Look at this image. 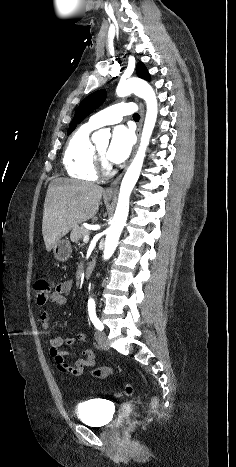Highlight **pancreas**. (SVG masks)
I'll use <instances>...</instances> for the list:
<instances>
[{"mask_svg":"<svg viewBox=\"0 0 236 467\" xmlns=\"http://www.w3.org/2000/svg\"><path fill=\"white\" fill-rule=\"evenodd\" d=\"M89 234L90 231L88 229L84 228L83 226H76L72 229L70 238L72 242L78 243L82 237Z\"/></svg>","mask_w":236,"mask_h":467,"instance_id":"obj_1","label":"pancreas"}]
</instances>
